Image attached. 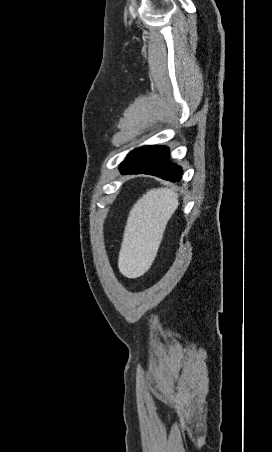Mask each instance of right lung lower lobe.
<instances>
[{
  "label": "right lung lower lobe",
  "instance_id": "obj_1",
  "mask_svg": "<svg viewBox=\"0 0 272 452\" xmlns=\"http://www.w3.org/2000/svg\"><path fill=\"white\" fill-rule=\"evenodd\" d=\"M122 174H149L171 182L181 180L182 169L169 160L164 146H145L132 151L120 165Z\"/></svg>",
  "mask_w": 272,
  "mask_h": 452
}]
</instances>
